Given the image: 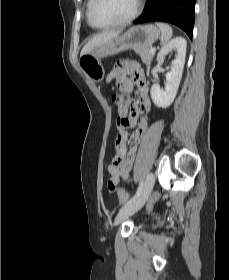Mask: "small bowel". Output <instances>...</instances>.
I'll use <instances>...</instances> for the list:
<instances>
[{"mask_svg": "<svg viewBox=\"0 0 229 280\" xmlns=\"http://www.w3.org/2000/svg\"><path fill=\"white\" fill-rule=\"evenodd\" d=\"M129 73H131L130 77L128 76ZM107 80L108 82H115L122 91H131L133 85H135L137 92V97L133 104L128 103L124 105L120 102L119 96H113V100L117 104L118 114L126 115L131 124L138 122L136 130L130 141L127 163L125 165L126 169L112 170L109 168L110 180L117 185L120 181L129 179L135 152L148 126L146 118H140L138 120V117L140 115H148L150 113L151 101L148 95V83L146 78L135 63H126L113 67L107 77ZM128 139V132L125 131L118 134L115 140V156H121L123 158Z\"/></svg>", "mask_w": 229, "mask_h": 280, "instance_id": "small-bowel-1", "label": "small bowel"}]
</instances>
